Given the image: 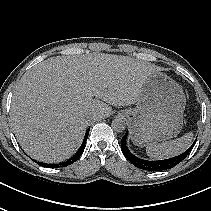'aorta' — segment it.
Wrapping results in <instances>:
<instances>
[{
    "label": "aorta",
    "instance_id": "aorta-1",
    "mask_svg": "<svg viewBox=\"0 0 211 211\" xmlns=\"http://www.w3.org/2000/svg\"><path fill=\"white\" fill-rule=\"evenodd\" d=\"M111 126L116 132H123L126 128V124L122 119H114L111 123Z\"/></svg>",
    "mask_w": 211,
    "mask_h": 211
}]
</instances>
